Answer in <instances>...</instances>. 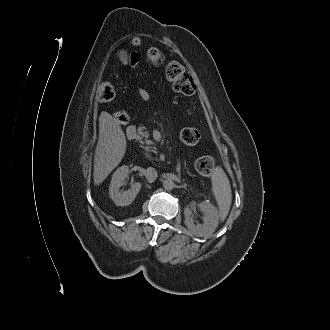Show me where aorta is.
I'll return each mask as SVG.
<instances>
[{
    "mask_svg": "<svg viewBox=\"0 0 330 330\" xmlns=\"http://www.w3.org/2000/svg\"><path fill=\"white\" fill-rule=\"evenodd\" d=\"M163 187L165 190L170 191L175 187V184L171 179H167L163 182Z\"/></svg>",
    "mask_w": 330,
    "mask_h": 330,
    "instance_id": "762f6f07",
    "label": "aorta"
}]
</instances>
